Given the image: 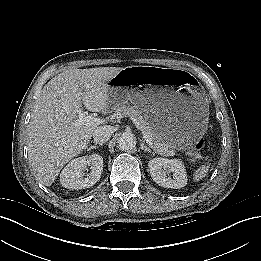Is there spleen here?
Returning a JSON list of instances; mask_svg holds the SVG:
<instances>
[{"label": "spleen", "mask_w": 261, "mask_h": 261, "mask_svg": "<svg viewBox=\"0 0 261 261\" xmlns=\"http://www.w3.org/2000/svg\"><path fill=\"white\" fill-rule=\"evenodd\" d=\"M209 171V166L208 165H202L199 167L193 174V179L195 181H199L200 179L204 178Z\"/></svg>", "instance_id": "1"}]
</instances>
